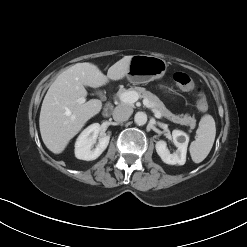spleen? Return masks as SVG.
<instances>
[{
  "label": "spleen",
  "instance_id": "1",
  "mask_svg": "<svg viewBox=\"0 0 247 247\" xmlns=\"http://www.w3.org/2000/svg\"><path fill=\"white\" fill-rule=\"evenodd\" d=\"M216 135L214 118L204 115L196 131V139L191 143L189 151L193 162H202L210 153Z\"/></svg>",
  "mask_w": 247,
  "mask_h": 247
}]
</instances>
